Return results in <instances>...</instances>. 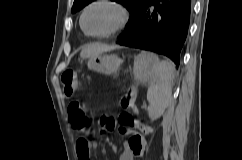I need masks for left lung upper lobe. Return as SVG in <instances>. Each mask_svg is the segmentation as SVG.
Here are the masks:
<instances>
[{
    "label": "left lung upper lobe",
    "mask_w": 242,
    "mask_h": 160,
    "mask_svg": "<svg viewBox=\"0 0 242 160\" xmlns=\"http://www.w3.org/2000/svg\"><path fill=\"white\" fill-rule=\"evenodd\" d=\"M94 0H74V4L72 7V12H76L80 9H82L87 4L91 3ZM118 3H121L123 6H125L129 13H130V19L128 23L125 26L124 34L127 33L135 19L140 15L141 11L144 9L146 3L148 0H113ZM122 33V34H123Z\"/></svg>",
    "instance_id": "left-lung-upper-lobe-1"
}]
</instances>
